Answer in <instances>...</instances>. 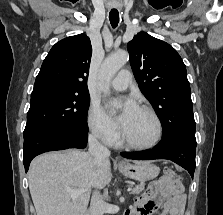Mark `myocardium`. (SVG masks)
I'll list each match as a JSON object with an SVG mask.
<instances>
[{"mask_svg": "<svg viewBox=\"0 0 223 215\" xmlns=\"http://www.w3.org/2000/svg\"><path fill=\"white\" fill-rule=\"evenodd\" d=\"M138 109L148 113L150 115V117L152 118V120L155 124V136H154V138L148 144H144V145L134 144V143H131L129 141H125V140L122 139L121 129H120L118 143L122 147H125L127 149H131V150H149V149H153L154 147L157 146V144L159 143V141L161 139V136H162L161 121H160L157 113L150 106L140 105V106H138Z\"/></svg>", "mask_w": 223, "mask_h": 215, "instance_id": "obj_1", "label": "myocardium"}]
</instances>
